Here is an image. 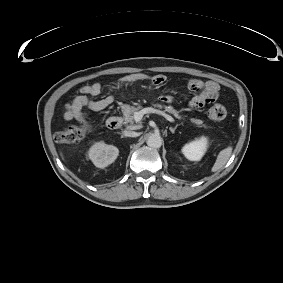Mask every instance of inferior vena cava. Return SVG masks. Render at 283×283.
Masks as SVG:
<instances>
[{
  "instance_id": "1",
  "label": "inferior vena cava",
  "mask_w": 283,
  "mask_h": 283,
  "mask_svg": "<svg viewBox=\"0 0 283 283\" xmlns=\"http://www.w3.org/2000/svg\"><path fill=\"white\" fill-rule=\"evenodd\" d=\"M123 134H124L125 136H128V137H137V136H139V133H137V132H135V131H132V130H129V129L125 130V131L123 132Z\"/></svg>"
}]
</instances>
